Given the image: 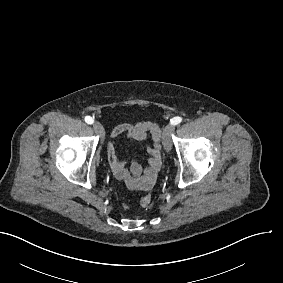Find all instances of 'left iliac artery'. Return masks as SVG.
Here are the masks:
<instances>
[{"instance_id":"left-iliac-artery-1","label":"left iliac artery","mask_w":283,"mask_h":283,"mask_svg":"<svg viewBox=\"0 0 283 283\" xmlns=\"http://www.w3.org/2000/svg\"><path fill=\"white\" fill-rule=\"evenodd\" d=\"M181 121H182V118H181V117H174V118H172V119L170 120V123H171L172 125H177V124L181 123Z\"/></svg>"}]
</instances>
